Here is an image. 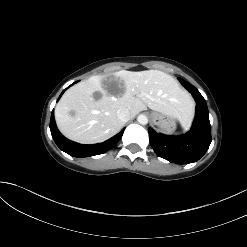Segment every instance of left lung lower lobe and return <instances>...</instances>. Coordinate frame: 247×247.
Instances as JSON below:
<instances>
[{
    "label": "left lung lower lobe",
    "mask_w": 247,
    "mask_h": 247,
    "mask_svg": "<svg viewBox=\"0 0 247 247\" xmlns=\"http://www.w3.org/2000/svg\"><path fill=\"white\" fill-rule=\"evenodd\" d=\"M196 100V117L191 130L183 136H165L149 128V141L155 153L177 164H188L199 160L211 143V126L205 99L188 82L179 78Z\"/></svg>",
    "instance_id": "0a47b994"
}]
</instances>
